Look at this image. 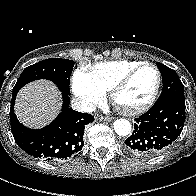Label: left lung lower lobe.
Segmentation results:
<instances>
[{
    "label": "left lung lower lobe",
    "mask_w": 196,
    "mask_h": 196,
    "mask_svg": "<svg viewBox=\"0 0 196 196\" xmlns=\"http://www.w3.org/2000/svg\"><path fill=\"white\" fill-rule=\"evenodd\" d=\"M185 101L157 102L136 118L134 131L125 140V148L136 156H154L180 135L185 122Z\"/></svg>",
    "instance_id": "1"
}]
</instances>
